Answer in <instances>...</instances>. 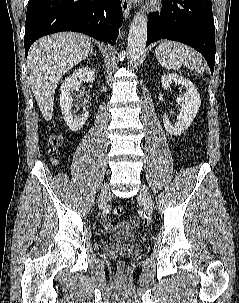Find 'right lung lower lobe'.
Segmentation results:
<instances>
[{
	"instance_id": "1",
	"label": "right lung lower lobe",
	"mask_w": 239,
	"mask_h": 303,
	"mask_svg": "<svg viewBox=\"0 0 239 303\" xmlns=\"http://www.w3.org/2000/svg\"><path fill=\"white\" fill-rule=\"evenodd\" d=\"M123 20L120 0H29L24 46L40 37L76 31L114 45Z\"/></svg>"
}]
</instances>
